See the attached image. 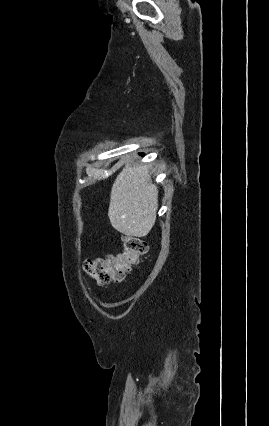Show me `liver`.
Masks as SVG:
<instances>
[{
    "label": "liver",
    "mask_w": 269,
    "mask_h": 426,
    "mask_svg": "<svg viewBox=\"0 0 269 426\" xmlns=\"http://www.w3.org/2000/svg\"><path fill=\"white\" fill-rule=\"evenodd\" d=\"M158 188L146 165L128 163L113 183L108 217L112 227L127 236H146L156 221Z\"/></svg>",
    "instance_id": "6515ba94"
}]
</instances>
